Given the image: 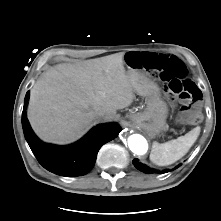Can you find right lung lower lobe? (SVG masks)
<instances>
[{
    "label": "right lung lower lobe",
    "instance_id": "right-lung-lower-lobe-1",
    "mask_svg": "<svg viewBox=\"0 0 221 221\" xmlns=\"http://www.w3.org/2000/svg\"><path fill=\"white\" fill-rule=\"evenodd\" d=\"M29 94L26 93L22 112L25 138L39 163L57 175L74 177L87 174L93 168L101 146L113 140L121 131L116 123H108L94 127L74 144L68 146L45 144L36 137L27 119Z\"/></svg>",
    "mask_w": 221,
    "mask_h": 221
}]
</instances>
